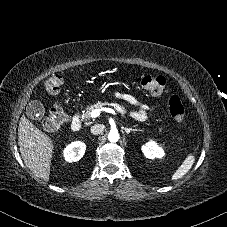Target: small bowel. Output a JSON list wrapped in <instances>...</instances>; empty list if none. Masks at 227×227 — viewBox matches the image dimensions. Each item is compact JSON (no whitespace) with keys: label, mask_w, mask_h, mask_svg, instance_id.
Instances as JSON below:
<instances>
[{"label":"small bowel","mask_w":227,"mask_h":227,"mask_svg":"<svg viewBox=\"0 0 227 227\" xmlns=\"http://www.w3.org/2000/svg\"><path fill=\"white\" fill-rule=\"evenodd\" d=\"M115 96L118 99L138 107L137 110L131 112V116L133 118L137 120H143L146 117L149 107L147 105L140 104V102L134 96L122 92H117Z\"/></svg>","instance_id":"small-bowel-1"}]
</instances>
